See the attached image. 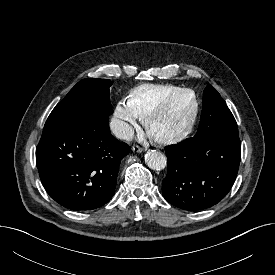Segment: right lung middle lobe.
<instances>
[{
	"label": "right lung middle lobe",
	"mask_w": 275,
	"mask_h": 275,
	"mask_svg": "<svg viewBox=\"0 0 275 275\" xmlns=\"http://www.w3.org/2000/svg\"><path fill=\"white\" fill-rule=\"evenodd\" d=\"M108 79H83L53 109L43 131L77 128L111 114Z\"/></svg>",
	"instance_id": "1"
}]
</instances>
